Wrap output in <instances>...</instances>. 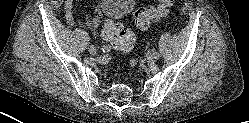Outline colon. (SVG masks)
Returning a JSON list of instances; mask_svg holds the SVG:
<instances>
[{
    "label": "colon",
    "instance_id": "colon-1",
    "mask_svg": "<svg viewBox=\"0 0 249 123\" xmlns=\"http://www.w3.org/2000/svg\"><path fill=\"white\" fill-rule=\"evenodd\" d=\"M173 2L174 0H159L157 6L137 9L133 15L135 25L141 30L148 29L153 22L168 15ZM102 34L115 49L123 53H129L133 49L135 41L133 33L117 23L107 21Z\"/></svg>",
    "mask_w": 249,
    "mask_h": 123
}]
</instances>
